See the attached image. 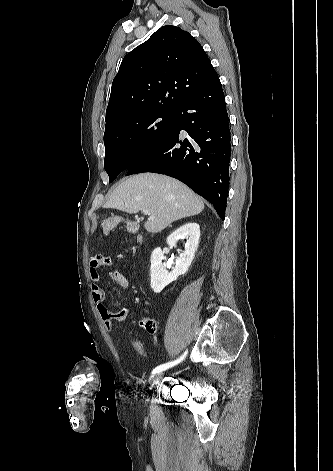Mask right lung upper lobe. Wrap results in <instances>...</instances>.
Returning <instances> with one entry per match:
<instances>
[{
    "instance_id": "obj_1",
    "label": "right lung upper lobe",
    "mask_w": 333,
    "mask_h": 471,
    "mask_svg": "<svg viewBox=\"0 0 333 471\" xmlns=\"http://www.w3.org/2000/svg\"><path fill=\"white\" fill-rule=\"evenodd\" d=\"M217 79L194 37L179 27L163 26L124 57L112 83L106 128L143 111L176 112Z\"/></svg>"
}]
</instances>
